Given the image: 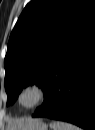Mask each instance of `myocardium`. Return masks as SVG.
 <instances>
[{
	"mask_svg": "<svg viewBox=\"0 0 95 130\" xmlns=\"http://www.w3.org/2000/svg\"><path fill=\"white\" fill-rule=\"evenodd\" d=\"M28 90L36 91L37 99L33 104H31L29 106H24L21 104L20 99H21L22 94ZM47 95H48V91H47L46 86L43 83H41L39 81H31V82L24 84L18 90L17 95H16V103L20 108H22L24 110H33V109L37 108L38 106H40L46 100Z\"/></svg>",
	"mask_w": 95,
	"mask_h": 130,
	"instance_id": "1",
	"label": "myocardium"
}]
</instances>
